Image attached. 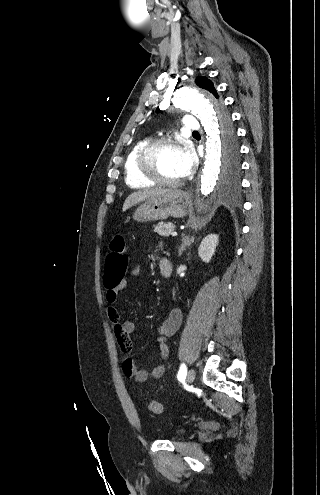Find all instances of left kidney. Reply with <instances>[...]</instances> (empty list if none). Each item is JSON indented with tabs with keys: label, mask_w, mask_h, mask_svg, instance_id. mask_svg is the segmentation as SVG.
Listing matches in <instances>:
<instances>
[{
	"label": "left kidney",
	"mask_w": 320,
	"mask_h": 495,
	"mask_svg": "<svg viewBox=\"0 0 320 495\" xmlns=\"http://www.w3.org/2000/svg\"><path fill=\"white\" fill-rule=\"evenodd\" d=\"M218 243H219L218 235L210 234L206 236L202 240L198 248L199 257L206 263L210 262L213 255L215 254Z\"/></svg>",
	"instance_id": "left-kidney-1"
}]
</instances>
